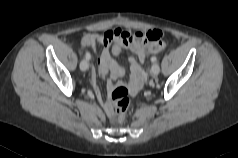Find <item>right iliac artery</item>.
<instances>
[{
  "label": "right iliac artery",
  "instance_id": "1",
  "mask_svg": "<svg viewBox=\"0 0 238 158\" xmlns=\"http://www.w3.org/2000/svg\"><path fill=\"white\" fill-rule=\"evenodd\" d=\"M85 57H86L87 60H89V59L91 58L90 53H89V52H86Z\"/></svg>",
  "mask_w": 238,
  "mask_h": 158
}]
</instances>
